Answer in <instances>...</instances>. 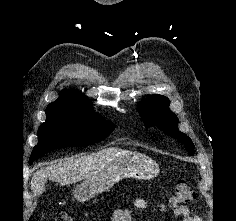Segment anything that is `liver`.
<instances>
[{
	"label": "liver",
	"mask_w": 236,
	"mask_h": 221,
	"mask_svg": "<svg viewBox=\"0 0 236 221\" xmlns=\"http://www.w3.org/2000/svg\"><path fill=\"white\" fill-rule=\"evenodd\" d=\"M123 152L119 148H106L90 155L70 157L50 163L49 166L37 170L31 179V189L35 196L45 191L47 180L70 185L93 175L112 156Z\"/></svg>",
	"instance_id": "liver-1"
}]
</instances>
